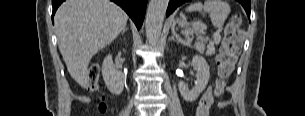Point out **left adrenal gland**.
Here are the masks:
<instances>
[{
    "instance_id": "a2214340",
    "label": "left adrenal gland",
    "mask_w": 305,
    "mask_h": 116,
    "mask_svg": "<svg viewBox=\"0 0 305 116\" xmlns=\"http://www.w3.org/2000/svg\"><path fill=\"white\" fill-rule=\"evenodd\" d=\"M172 37L170 38L171 40H173V41H175V37L177 38V42H179L180 40H179V38H178V35L175 33V31H172Z\"/></svg>"
}]
</instances>
